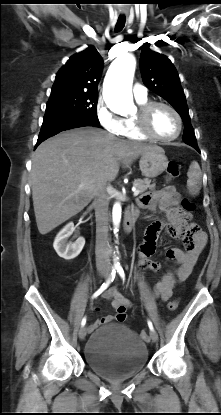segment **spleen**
<instances>
[{
	"instance_id": "3e777b00",
	"label": "spleen",
	"mask_w": 221,
	"mask_h": 415,
	"mask_svg": "<svg viewBox=\"0 0 221 415\" xmlns=\"http://www.w3.org/2000/svg\"><path fill=\"white\" fill-rule=\"evenodd\" d=\"M187 188L192 195H198L202 184V173L199 164L193 161L189 167Z\"/></svg>"
}]
</instances>
